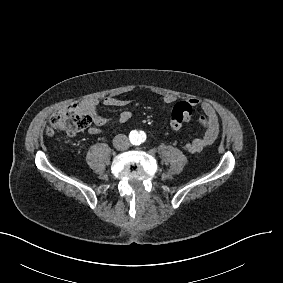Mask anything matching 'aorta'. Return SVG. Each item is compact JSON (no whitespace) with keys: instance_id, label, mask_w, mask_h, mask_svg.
Segmentation results:
<instances>
[{"instance_id":"obj_1","label":"aorta","mask_w":283,"mask_h":283,"mask_svg":"<svg viewBox=\"0 0 283 283\" xmlns=\"http://www.w3.org/2000/svg\"><path fill=\"white\" fill-rule=\"evenodd\" d=\"M129 139L132 144L139 145L145 139V134L144 132L133 130L129 134Z\"/></svg>"}]
</instances>
